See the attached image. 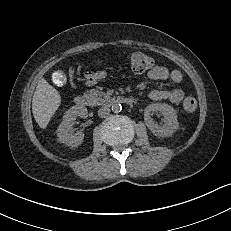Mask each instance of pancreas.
Listing matches in <instances>:
<instances>
[{
    "label": "pancreas",
    "mask_w": 231,
    "mask_h": 231,
    "mask_svg": "<svg viewBox=\"0 0 231 231\" xmlns=\"http://www.w3.org/2000/svg\"><path fill=\"white\" fill-rule=\"evenodd\" d=\"M94 105H100L103 104L107 99H109V94L105 92H100L95 89H91L87 94Z\"/></svg>",
    "instance_id": "obj_1"
}]
</instances>
